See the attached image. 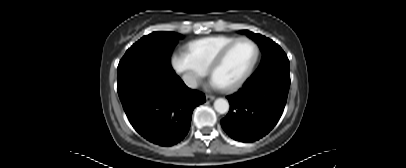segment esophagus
Segmentation results:
<instances>
[{
  "label": "esophagus",
  "instance_id": "esophagus-1",
  "mask_svg": "<svg viewBox=\"0 0 406 168\" xmlns=\"http://www.w3.org/2000/svg\"><path fill=\"white\" fill-rule=\"evenodd\" d=\"M215 99V96L213 95H206V100L207 101H213Z\"/></svg>",
  "mask_w": 406,
  "mask_h": 168
}]
</instances>
